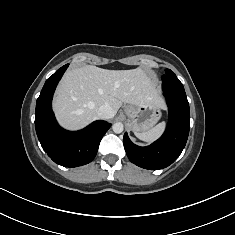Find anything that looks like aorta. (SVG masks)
I'll use <instances>...</instances> for the list:
<instances>
[{"mask_svg": "<svg viewBox=\"0 0 235 235\" xmlns=\"http://www.w3.org/2000/svg\"><path fill=\"white\" fill-rule=\"evenodd\" d=\"M112 129H113L114 133L119 134V133L123 132L124 126L121 122H117V123L113 124Z\"/></svg>", "mask_w": 235, "mask_h": 235, "instance_id": "1", "label": "aorta"}]
</instances>
